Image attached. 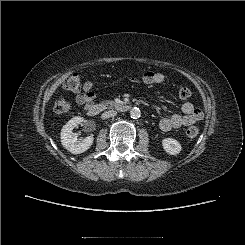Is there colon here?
I'll use <instances>...</instances> for the list:
<instances>
[{
  "label": "colon",
  "instance_id": "1",
  "mask_svg": "<svg viewBox=\"0 0 245 245\" xmlns=\"http://www.w3.org/2000/svg\"><path fill=\"white\" fill-rule=\"evenodd\" d=\"M82 87V80L78 74L71 75L64 83V88L67 91L79 92ZM179 96L181 99H187L191 96V90L187 87H182L179 90ZM71 108V104L65 98H59L54 103V111L57 114L67 113ZM198 129L196 127H190L186 130V135L189 138H195L198 135Z\"/></svg>",
  "mask_w": 245,
  "mask_h": 245
}]
</instances>
